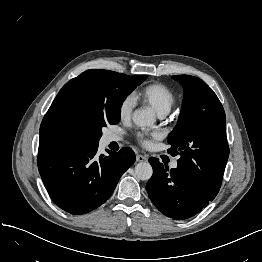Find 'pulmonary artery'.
Returning <instances> with one entry per match:
<instances>
[{"label": "pulmonary artery", "mask_w": 262, "mask_h": 262, "mask_svg": "<svg viewBox=\"0 0 262 262\" xmlns=\"http://www.w3.org/2000/svg\"><path fill=\"white\" fill-rule=\"evenodd\" d=\"M166 114H160V117H164ZM120 140V138H119V136H117V135H115V134H109L108 135V141L109 142H117V141H119ZM171 167L172 168H176L177 167V162L176 161H173L172 163H171Z\"/></svg>", "instance_id": "pulmonary-artery-1"}]
</instances>
